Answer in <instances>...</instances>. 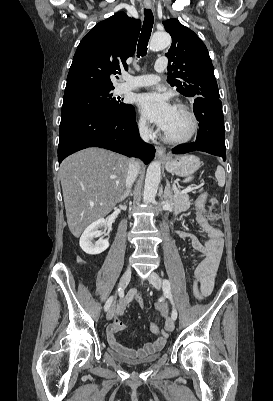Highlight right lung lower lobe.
<instances>
[{
	"instance_id": "98d812e1",
	"label": "right lung lower lobe",
	"mask_w": 273,
	"mask_h": 401,
	"mask_svg": "<svg viewBox=\"0 0 273 401\" xmlns=\"http://www.w3.org/2000/svg\"><path fill=\"white\" fill-rule=\"evenodd\" d=\"M58 161L88 147H102L148 164L155 148L139 137L135 110L127 104L120 114L99 111H77L61 116Z\"/></svg>"
}]
</instances>
